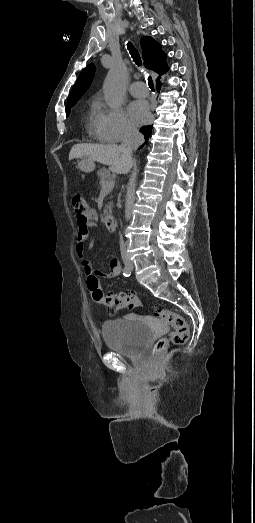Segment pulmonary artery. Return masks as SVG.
<instances>
[{
  "label": "pulmonary artery",
  "instance_id": "pulmonary-artery-1",
  "mask_svg": "<svg viewBox=\"0 0 255 523\" xmlns=\"http://www.w3.org/2000/svg\"><path fill=\"white\" fill-rule=\"evenodd\" d=\"M130 93L135 97H145L149 93V87L144 82H134L130 86Z\"/></svg>",
  "mask_w": 255,
  "mask_h": 523
}]
</instances>
